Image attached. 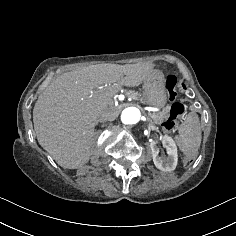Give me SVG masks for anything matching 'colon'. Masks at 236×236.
<instances>
[{"instance_id": "5ec220e1", "label": "colon", "mask_w": 236, "mask_h": 236, "mask_svg": "<svg viewBox=\"0 0 236 236\" xmlns=\"http://www.w3.org/2000/svg\"><path fill=\"white\" fill-rule=\"evenodd\" d=\"M176 84L177 78L174 75H168L166 77L165 89L169 100L172 102L169 116L164 124L167 129H173L185 112V106L176 101Z\"/></svg>"}]
</instances>
